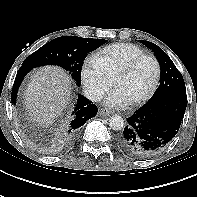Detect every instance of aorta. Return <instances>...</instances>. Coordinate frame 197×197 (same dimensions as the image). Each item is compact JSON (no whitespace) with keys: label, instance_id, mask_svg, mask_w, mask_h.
Here are the masks:
<instances>
[{"label":"aorta","instance_id":"1","mask_svg":"<svg viewBox=\"0 0 197 197\" xmlns=\"http://www.w3.org/2000/svg\"><path fill=\"white\" fill-rule=\"evenodd\" d=\"M109 126L112 130L120 131L124 128V120L119 115H114L109 118Z\"/></svg>","mask_w":197,"mask_h":197}]
</instances>
